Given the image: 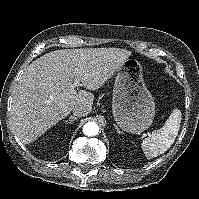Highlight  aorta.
Instances as JSON below:
<instances>
[{
  "instance_id": "obj_1",
  "label": "aorta",
  "mask_w": 199,
  "mask_h": 199,
  "mask_svg": "<svg viewBox=\"0 0 199 199\" xmlns=\"http://www.w3.org/2000/svg\"><path fill=\"white\" fill-rule=\"evenodd\" d=\"M99 127L95 122H88L83 126V133L86 136H95L98 134Z\"/></svg>"
}]
</instances>
